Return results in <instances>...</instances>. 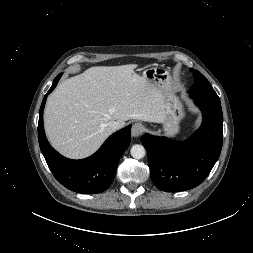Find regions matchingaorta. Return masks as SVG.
Here are the masks:
<instances>
[{"mask_svg": "<svg viewBox=\"0 0 253 253\" xmlns=\"http://www.w3.org/2000/svg\"><path fill=\"white\" fill-rule=\"evenodd\" d=\"M130 153L133 158L142 159L146 154V150L144 146L136 144L131 147Z\"/></svg>", "mask_w": 253, "mask_h": 253, "instance_id": "obj_1", "label": "aorta"}]
</instances>
